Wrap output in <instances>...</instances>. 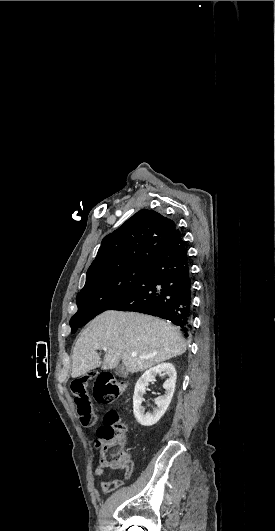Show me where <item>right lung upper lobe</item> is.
<instances>
[{"instance_id": "cb5924a9", "label": "right lung upper lobe", "mask_w": 275, "mask_h": 531, "mask_svg": "<svg viewBox=\"0 0 275 531\" xmlns=\"http://www.w3.org/2000/svg\"><path fill=\"white\" fill-rule=\"evenodd\" d=\"M177 230L174 222L152 211L140 210L102 240L86 274V283L109 272L147 265Z\"/></svg>"}]
</instances>
